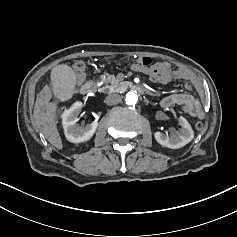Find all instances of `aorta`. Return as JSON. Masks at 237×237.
<instances>
[{
	"instance_id": "1",
	"label": "aorta",
	"mask_w": 237,
	"mask_h": 237,
	"mask_svg": "<svg viewBox=\"0 0 237 237\" xmlns=\"http://www.w3.org/2000/svg\"><path fill=\"white\" fill-rule=\"evenodd\" d=\"M138 101V97L133 92H129L126 95V104L129 106H134Z\"/></svg>"
}]
</instances>
